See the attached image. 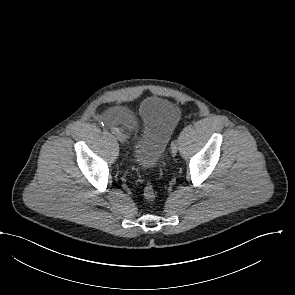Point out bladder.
Segmentation results:
<instances>
[{"instance_id": "1", "label": "bladder", "mask_w": 295, "mask_h": 295, "mask_svg": "<svg viewBox=\"0 0 295 295\" xmlns=\"http://www.w3.org/2000/svg\"><path fill=\"white\" fill-rule=\"evenodd\" d=\"M179 117V108L168 99L153 96L142 102L133 143L134 159L141 167L152 169L158 164Z\"/></svg>"}]
</instances>
